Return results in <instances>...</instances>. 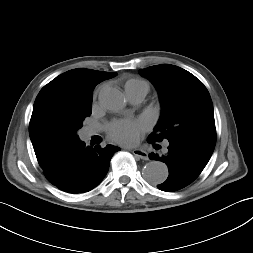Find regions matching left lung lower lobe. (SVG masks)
I'll return each mask as SVG.
<instances>
[{"label":"left lung lower lobe","mask_w":253,"mask_h":253,"mask_svg":"<svg viewBox=\"0 0 253 253\" xmlns=\"http://www.w3.org/2000/svg\"><path fill=\"white\" fill-rule=\"evenodd\" d=\"M148 142L153 143L148 140ZM215 146L185 139L169 141L168 154L158 156L151 153L150 159L166 163L169 167L167 180L158 189L172 192L193 182L208 163Z\"/></svg>","instance_id":"left-lung-lower-lobe-1"}]
</instances>
